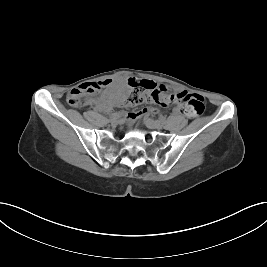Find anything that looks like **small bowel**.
<instances>
[{
    "mask_svg": "<svg viewBox=\"0 0 267 267\" xmlns=\"http://www.w3.org/2000/svg\"><path fill=\"white\" fill-rule=\"evenodd\" d=\"M108 84V81H100V82H94L90 84H83V85H88L89 88H94V89H99L102 86H106ZM184 91H178L174 95V101L172 105H176L175 111L176 112H181L182 105L180 102L182 101L180 95ZM123 96L124 92L123 91H115L112 94L108 96H104L100 99H92L89 101V105H91L93 108L98 109V110H103V111H108L111 109V105H116V106H123ZM154 110L153 109H143L139 112H130L125 115V119L127 121H132L135 118L139 116H146L149 113H152Z\"/></svg>",
    "mask_w": 267,
    "mask_h": 267,
    "instance_id": "small-bowel-1",
    "label": "small bowel"
}]
</instances>
